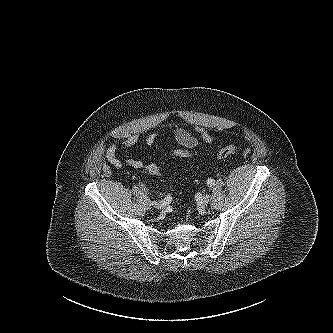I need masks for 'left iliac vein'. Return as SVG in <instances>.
I'll return each instance as SVG.
<instances>
[{"label":"left iliac vein","instance_id":"left-iliac-vein-1","mask_svg":"<svg viewBox=\"0 0 333 333\" xmlns=\"http://www.w3.org/2000/svg\"><path fill=\"white\" fill-rule=\"evenodd\" d=\"M209 198H210V196L207 194L200 198V200L198 201L199 209H204L207 206V204L209 202Z\"/></svg>","mask_w":333,"mask_h":333}]
</instances>
